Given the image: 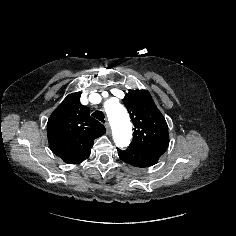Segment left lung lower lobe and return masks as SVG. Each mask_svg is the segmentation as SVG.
Listing matches in <instances>:
<instances>
[{
    "instance_id": "left-lung-lower-lobe-1",
    "label": "left lung lower lobe",
    "mask_w": 236,
    "mask_h": 236,
    "mask_svg": "<svg viewBox=\"0 0 236 236\" xmlns=\"http://www.w3.org/2000/svg\"><path fill=\"white\" fill-rule=\"evenodd\" d=\"M165 151V149L160 148L128 147L126 150L118 149V155L125 163L146 168L156 164Z\"/></svg>"
}]
</instances>
